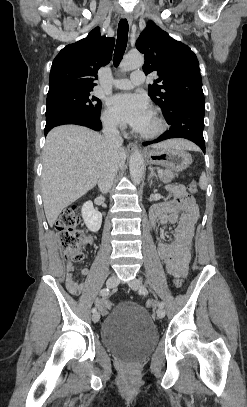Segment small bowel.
<instances>
[{"label": "small bowel", "mask_w": 247, "mask_h": 407, "mask_svg": "<svg viewBox=\"0 0 247 407\" xmlns=\"http://www.w3.org/2000/svg\"><path fill=\"white\" fill-rule=\"evenodd\" d=\"M172 199L168 202L153 206L150 210V221L154 228L175 225L170 243L159 239L157 250L165 264L167 272L176 277L184 278L188 273L193 246L194 228L199 218V210L195 200L190 197L183 186L175 185L169 188ZM86 244H91L90 237L84 239ZM74 265L66 264V286L73 295L81 293L84 284L75 281ZM89 269L84 268L81 272L83 277L89 274ZM96 305L103 309L106 306L104 299H97Z\"/></svg>", "instance_id": "c3829d8e"}]
</instances>
